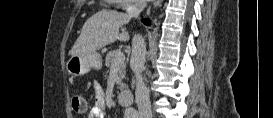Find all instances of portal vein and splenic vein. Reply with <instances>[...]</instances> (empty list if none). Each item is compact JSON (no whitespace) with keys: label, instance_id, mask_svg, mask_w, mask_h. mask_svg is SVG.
I'll use <instances>...</instances> for the list:
<instances>
[{"label":"portal vein and splenic vein","instance_id":"obj_1","mask_svg":"<svg viewBox=\"0 0 273 118\" xmlns=\"http://www.w3.org/2000/svg\"><path fill=\"white\" fill-rule=\"evenodd\" d=\"M121 60H125V55L122 52H118L116 55V61L119 62ZM117 66V63L113 64L111 68H114Z\"/></svg>","mask_w":273,"mask_h":118}]
</instances>
